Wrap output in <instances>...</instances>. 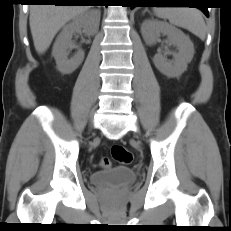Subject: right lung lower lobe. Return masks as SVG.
<instances>
[{"instance_id": "obj_1", "label": "right lung lower lobe", "mask_w": 231, "mask_h": 231, "mask_svg": "<svg viewBox=\"0 0 231 231\" xmlns=\"http://www.w3.org/2000/svg\"><path fill=\"white\" fill-rule=\"evenodd\" d=\"M27 1H29L30 3H52L55 5H73L74 3H77V1H82V0H27Z\"/></svg>"}]
</instances>
